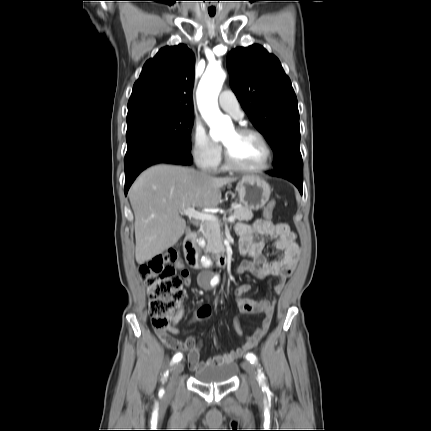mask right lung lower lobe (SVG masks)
Here are the masks:
<instances>
[{"instance_id":"98d812e1","label":"right lung lower lobe","mask_w":431,"mask_h":431,"mask_svg":"<svg viewBox=\"0 0 431 431\" xmlns=\"http://www.w3.org/2000/svg\"><path fill=\"white\" fill-rule=\"evenodd\" d=\"M190 151L162 138H148L127 148L125 162V195L129 187L147 167L157 163L189 165Z\"/></svg>"}]
</instances>
